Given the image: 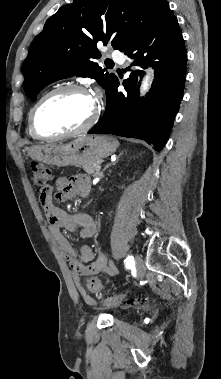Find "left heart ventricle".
<instances>
[{"label": "left heart ventricle", "mask_w": 221, "mask_h": 379, "mask_svg": "<svg viewBox=\"0 0 221 379\" xmlns=\"http://www.w3.org/2000/svg\"><path fill=\"white\" fill-rule=\"evenodd\" d=\"M95 103L91 96L68 91L48 99L38 110L36 126L44 135H56L73 130L91 116Z\"/></svg>", "instance_id": "left-heart-ventricle-1"}]
</instances>
